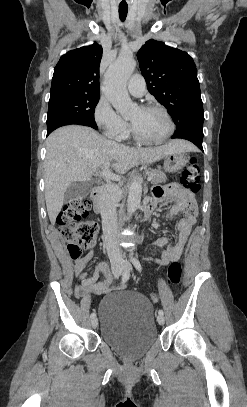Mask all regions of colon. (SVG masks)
Masks as SVG:
<instances>
[{
	"mask_svg": "<svg viewBox=\"0 0 247 407\" xmlns=\"http://www.w3.org/2000/svg\"><path fill=\"white\" fill-rule=\"evenodd\" d=\"M180 183L190 193L199 192L200 168L196 157L190 158L188 166L182 173ZM89 205V201L85 198L74 197L63 208L56 220L72 258H78L82 249H91L96 244L99 228L96 222L87 219ZM165 278L168 284H180L182 268L179 262L168 264ZM150 299L152 303H157L159 296L153 293Z\"/></svg>",
	"mask_w": 247,
	"mask_h": 407,
	"instance_id": "5ec220e1",
	"label": "colon"
}]
</instances>
